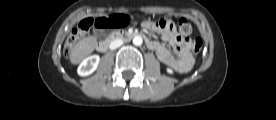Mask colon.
Wrapping results in <instances>:
<instances>
[{
    "label": "colon",
    "mask_w": 276,
    "mask_h": 120,
    "mask_svg": "<svg viewBox=\"0 0 276 120\" xmlns=\"http://www.w3.org/2000/svg\"><path fill=\"white\" fill-rule=\"evenodd\" d=\"M126 19L123 17H110V18H100L96 21H93L90 18H85L81 20L78 25L71 31V34L69 35L66 45H65V52L68 53V51L74 46V44L77 42L78 38L88 31L91 26H94L95 28L99 30H104L107 28H116V27H122L126 24ZM173 24V22L169 19H161L158 21V25L162 28L170 27ZM179 26V32L182 36L188 37L192 32V26L188 19L181 18L178 21ZM203 48V42L200 38H194L191 40V49L192 53L196 56L200 55Z\"/></svg>",
    "instance_id": "5ec220e1"
}]
</instances>
